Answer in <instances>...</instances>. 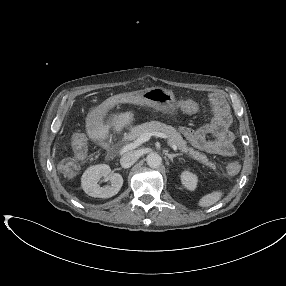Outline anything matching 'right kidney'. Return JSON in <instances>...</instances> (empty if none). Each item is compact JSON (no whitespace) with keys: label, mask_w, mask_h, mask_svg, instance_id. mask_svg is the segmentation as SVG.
<instances>
[{"label":"right kidney","mask_w":286,"mask_h":286,"mask_svg":"<svg viewBox=\"0 0 286 286\" xmlns=\"http://www.w3.org/2000/svg\"><path fill=\"white\" fill-rule=\"evenodd\" d=\"M101 178L110 181L109 185L100 187L98 182ZM81 185L86 194L98 198H110L116 195L122 185L123 178L118 173H113L106 164H99L89 167L81 178Z\"/></svg>","instance_id":"ca27d5eb"}]
</instances>
